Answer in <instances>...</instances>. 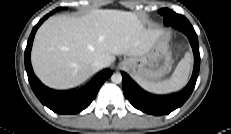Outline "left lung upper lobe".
Wrapping results in <instances>:
<instances>
[{
  "label": "left lung upper lobe",
  "instance_id": "left-lung-upper-lobe-1",
  "mask_svg": "<svg viewBox=\"0 0 231 134\" xmlns=\"http://www.w3.org/2000/svg\"><path fill=\"white\" fill-rule=\"evenodd\" d=\"M159 13L164 17V23L166 25H171L170 17H171L172 10L164 8L159 10Z\"/></svg>",
  "mask_w": 231,
  "mask_h": 134
}]
</instances>
